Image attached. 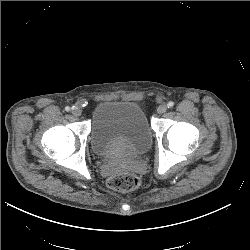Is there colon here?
Segmentation results:
<instances>
[{
  "instance_id": "colon-1",
  "label": "colon",
  "mask_w": 250,
  "mask_h": 250,
  "mask_svg": "<svg viewBox=\"0 0 250 250\" xmlns=\"http://www.w3.org/2000/svg\"><path fill=\"white\" fill-rule=\"evenodd\" d=\"M141 184V178L139 175L129 172H121L112 175L107 181V185L110 189L117 192H129L138 188Z\"/></svg>"
}]
</instances>
